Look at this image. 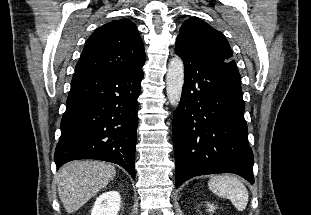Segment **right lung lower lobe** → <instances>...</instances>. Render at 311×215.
<instances>
[{
	"label": "right lung lower lobe",
	"mask_w": 311,
	"mask_h": 215,
	"mask_svg": "<svg viewBox=\"0 0 311 215\" xmlns=\"http://www.w3.org/2000/svg\"><path fill=\"white\" fill-rule=\"evenodd\" d=\"M142 68L133 72L75 71L61 120L57 168L76 159L116 163L135 179Z\"/></svg>",
	"instance_id": "1"
}]
</instances>
